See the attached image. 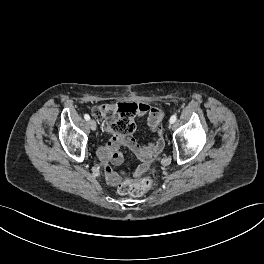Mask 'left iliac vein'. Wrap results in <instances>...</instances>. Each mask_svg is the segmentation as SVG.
I'll use <instances>...</instances> for the list:
<instances>
[{
	"instance_id": "1",
	"label": "left iliac vein",
	"mask_w": 264,
	"mask_h": 264,
	"mask_svg": "<svg viewBox=\"0 0 264 264\" xmlns=\"http://www.w3.org/2000/svg\"><path fill=\"white\" fill-rule=\"evenodd\" d=\"M168 127L171 128L172 127V123H170Z\"/></svg>"
}]
</instances>
